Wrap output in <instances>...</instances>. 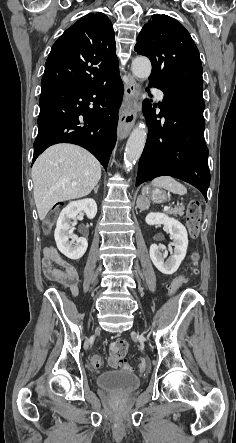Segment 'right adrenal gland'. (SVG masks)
Segmentation results:
<instances>
[{"instance_id": "2a0ac1e0", "label": "right adrenal gland", "mask_w": 236, "mask_h": 443, "mask_svg": "<svg viewBox=\"0 0 236 443\" xmlns=\"http://www.w3.org/2000/svg\"><path fill=\"white\" fill-rule=\"evenodd\" d=\"M98 189H99V185H97V186L94 188V193H95V194H97Z\"/></svg>"}]
</instances>
